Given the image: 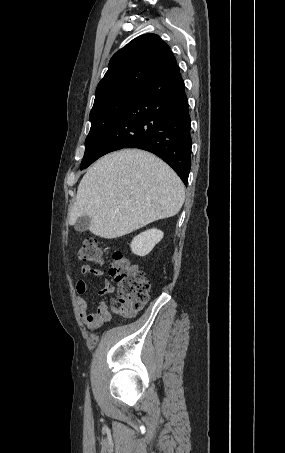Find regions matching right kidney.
<instances>
[{
	"mask_svg": "<svg viewBox=\"0 0 285 453\" xmlns=\"http://www.w3.org/2000/svg\"><path fill=\"white\" fill-rule=\"evenodd\" d=\"M164 233L158 229L147 230L136 237L131 242V250L138 256H146L154 246L161 241Z\"/></svg>",
	"mask_w": 285,
	"mask_h": 453,
	"instance_id": "obj_1",
	"label": "right kidney"
}]
</instances>
